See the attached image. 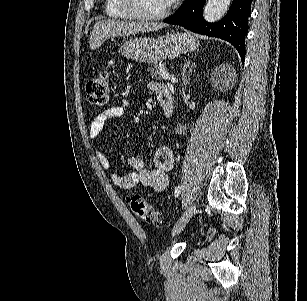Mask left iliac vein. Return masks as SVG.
Masks as SVG:
<instances>
[{
	"label": "left iliac vein",
	"mask_w": 307,
	"mask_h": 301,
	"mask_svg": "<svg viewBox=\"0 0 307 301\" xmlns=\"http://www.w3.org/2000/svg\"><path fill=\"white\" fill-rule=\"evenodd\" d=\"M197 208V204L195 201H193L184 211V213L181 215V217L178 219L177 223L175 224L173 228L174 234H179L183 228L186 226V224L189 222L191 216L195 213Z\"/></svg>",
	"instance_id": "left-iliac-vein-1"
}]
</instances>
